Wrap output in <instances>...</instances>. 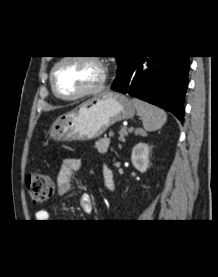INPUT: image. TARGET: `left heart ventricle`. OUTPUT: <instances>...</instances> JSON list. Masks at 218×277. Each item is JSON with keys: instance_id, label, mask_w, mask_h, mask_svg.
<instances>
[{"instance_id": "left-heart-ventricle-1", "label": "left heart ventricle", "mask_w": 218, "mask_h": 277, "mask_svg": "<svg viewBox=\"0 0 218 277\" xmlns=\"http://www.w3.org/2000/svg\"><path fill=\"white\" fill-rule=\"evenodd\" d=\"M98 78L97 69L86 61L71 60L55 73V85L64 96L76 95L92 86Z\"/></svg>"}]
</instances>
